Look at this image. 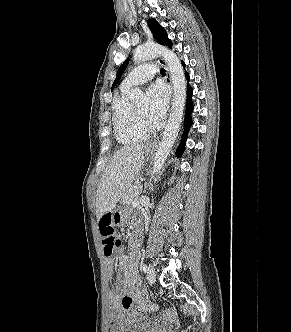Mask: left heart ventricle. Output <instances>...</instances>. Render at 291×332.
I'll use <instances>...</instances> for the list:
<instances>
[{
  "mask_svg": "<svg viewBox=\"0 0 291 332\" xmlns=\"http://www.w3.org/2000/svg\"><path fill=\"white\" fill-rule=\"evenodd\" d=\"M136 109L144 116L146 117L147 115V109H148V105L147 103H143V104H140L136 107Z\"/></svg>",
  "mask_w": 291,
  "mask_h": 332,
  "instance_id": "obj_1",
  "label": "left heart ventricle"
}]
</instances>
